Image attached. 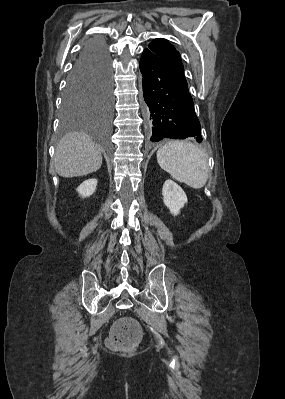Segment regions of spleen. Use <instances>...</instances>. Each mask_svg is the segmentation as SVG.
<instances>
[{
	"mask_svg": "<svg viewBox=\"0 0 285 399\" xmlns=\"http://www.w3.org/2000/svg\"><path fill=\"white\" fill-rule=\"evenodd\" d=\"M159 166L179 182L200 189L208 179L205 152L187 141H170L157 151Z\"/></svg>",
	"mask_w": 285,
	"mask_h": 399,
	"instance_id": "3e777b00",
	"label": "spleen"
}]
</instances>
